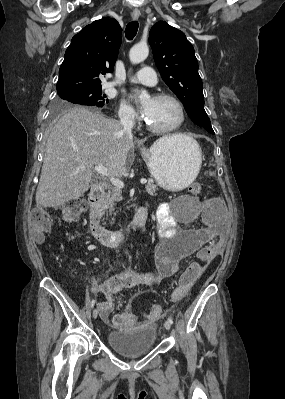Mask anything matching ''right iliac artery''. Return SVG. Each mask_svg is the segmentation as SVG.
Returning <instances> with one entry per match:
<instances>
[{
    "mask_svg": "<svg viewBox=\"0 0 285 399\" xmlns=\"http://www.w3.org/2000/svg\"><path fill=\"white\" fill-rule=\"evenodd\" d=\"M95 303H96V299L94 298V299H92L91 304H90L91 308L94 307Z\"/></svg>",
    "mask_w": 285,
    "mask_h": 399,
    "instance_id": "82829eb1",
    "label": "right iliac artery"
}]
</instances>
